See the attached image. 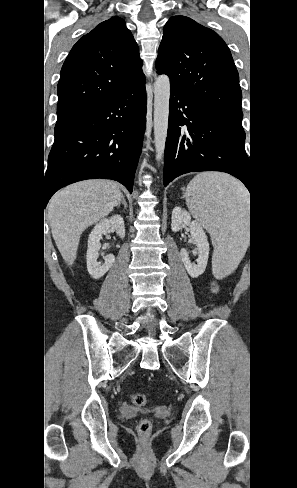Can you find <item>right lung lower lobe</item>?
I'll use <instances>...</instances> for the list:
<instances>
[{"label":"right lung lower lobe","instance_id":"98d812e1","mask_svg":"<svg viewBox=\"0 0 297 488\" xmlns=\"http://www.w3.org/2000/svg\"><path fill=\"white\" fill-rule=\"evenodd\" d=\"M145 116V78H141L107 101L55 126L45 174V207L60 188L86 179L116 180L131 193Z\"/></svg>","mask_w":297,"mask_h":488}]
</instances>
